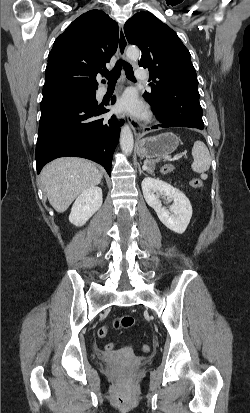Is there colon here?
<instances>
[{
	"mask_svg": "<svg viewBox=\"0 0 250 413\" xmlns=\"http://www.w3.org/2000/svg\"><path fill=\"white\" fill-rule=\"evenodd\" d=\"M174 170V166L172 164H165L164 166L161 167V172L164 174L170 173ZM190 185L193 188H202L203 187V180L200 178H193L190 181ZM135 324V318L131 315H124L121 317H118L114 323L113 326L115 328H130L134 326ZM110 325L108 322H101L99 325V330H98V336L99 337H105L108 334ZM116 347V344L113 341H109L105 343L104 346V351L107 353H114V348ZM151 350L150 345L145 344L142 346V351L147 353Z\"/></svg>",
	"mask_w": 250,
	"mask_h": 413,
	"instance_id": "obj_1",
	"label": "colon"
}]
</instances>
